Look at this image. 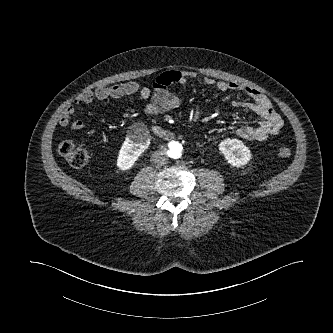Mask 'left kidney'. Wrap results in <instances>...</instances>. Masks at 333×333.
Here are the masks:
<instances>
[{
	"label": "left kidney",
	"instance_id": "1",
	"mask_svg": "<svg viewBox=\"0 0 333 333\" xmlns=\"http://www.w3.org/2000/svg\"><path fill=\"white\" fill-rule=\"evenodd\" d=\"M219 150L228 163L234 167L246 165L251 159L249 148L238 139H225L221 141Z\"/></svg>",
	"mask_w": 333,
	"mask_h": 333
}]
</instances>
